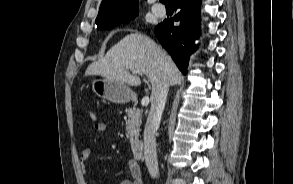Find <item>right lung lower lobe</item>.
I'll list each match as a JSON object with an SVG mask.
<instances>
[{"instance_id":"1","label":"right lung lower lobe","mask_w":293,"mask_h":184,"mask_svg":"<svg viewBox=\"0 0 293 184\" xmlns=\"http://www.w3.org/2000/svg\"><path fill=\"white\" fill-rule=\"evenodd\" d=\"M178 14L174 19L164 20L155 28V35L162 46L170 53L183 74L189 62V56L196 51L194 40L200 35V0H171ZM173 21H179L174 26Z\"/></svg>"}]
</instances>
